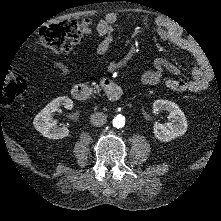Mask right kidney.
Listing matches in <instances>:
<instances>
[{
	"label": "right kidney",
	"instance_id": "obj_1",
	"mask_svg": "<svg viewBox=\"0 0 221 221\" xmlns=\"http://www.w3.org/2000/svg\"><path fill=\"white\" fill-rule=\"evenodd\" d=\"M60 107L71 110L73 101L67 96L57 97L35 116L33 126L43 137L57 140L69 135V129L57 127V121L53 119V113L58 112Z\"/></svg>",
	"mask_w": 221,
	"mask_h": 221
}]
</instances>
